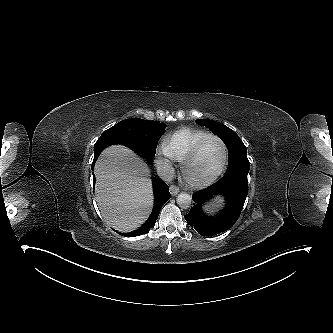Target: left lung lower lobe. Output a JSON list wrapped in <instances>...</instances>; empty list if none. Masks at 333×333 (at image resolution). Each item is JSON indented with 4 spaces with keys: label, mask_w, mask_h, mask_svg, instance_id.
<instances>
[{
    "label": "left lung lower lobe",
    "mask_w": 333,
    "mask_h": 333,
    "mask_svg": "<svg viewBox=\"0 0 333 333\" xmlns=\"http://www.w3.org/2000/svg\"><path fill=\"white\" fill-rule=\"evenodd\" d=\"M223 194L226 208L217 217L206 216L201 204L215 194ZM248 194V182L245 179L221 178L211 187L196 192L192 198L196 204L185 215V220L202 236L217 235L231 228L238 220Z\"/></svg>",
    "instance_id": "0a47b994"
}]
</instances>
